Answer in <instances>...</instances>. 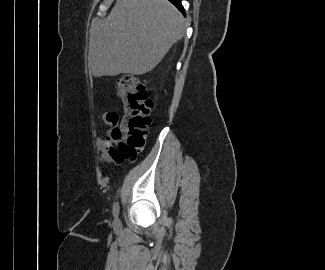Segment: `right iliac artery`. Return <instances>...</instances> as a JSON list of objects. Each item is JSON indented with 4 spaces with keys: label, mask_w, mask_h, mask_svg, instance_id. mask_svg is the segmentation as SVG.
Segmentation results:
<instances>
[{
    "label": "right iliac artery",
    "mask_w": 325,
    "mask_h": 270,
    "mask_svg": "<svg viewBox=\"0 0 325 270\" xmlns=\"http://www.w3.org/2000/svg\"><path fill=\"white\" fill-rule=\"evenodd\" d=\"M118 214H119V203L116 202V203L114 204V206H113V215H114L115 217H118Z\"/></svg>",
    "instance_id": "right-iliac-artery-1"
}]
</instances>
